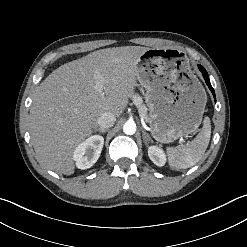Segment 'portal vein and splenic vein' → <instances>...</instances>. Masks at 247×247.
<instances>
[{"mask_svg":"<svg viewBox=\"0 0 247 247\" xmlns=\"http://www.w3.org/2000/svg\"><path fill=\"white\" fill-rule=\"evenodd\" d=\"M95 79L97 80L96 89H97L98 92L102 93L103 92V89H104V86H103V83H102V77H101V75L100 74H97L95 76Z\"/></svg>","mask_w":247,"mask_h":247,"instance_id":"18ae733b","label":"portal vein and splenic vein"}]
</instances>
